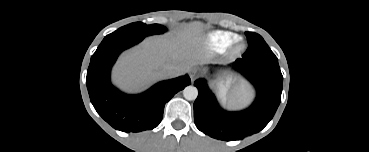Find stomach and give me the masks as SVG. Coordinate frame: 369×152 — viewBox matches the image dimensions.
<instances>
[{
	"instance_id": "obj_1",
	"label": "stomach",
	"mask_w": 369,
	"mask_h": 152,
	"mask_svg": "<svg viewBox=\"0 0 369 152\" xmlns=\"http://www.w3.org/2000/svg\"><path fill=\"white\" fill-rule=\"evenodd\" d=\"M230 82L231 80L228 79L225 83H221L219 85V95L223 101H225L226 99V94H227V90H228Z\"/></svg>"
}]
</instances>
